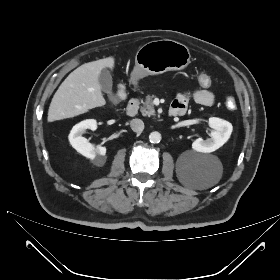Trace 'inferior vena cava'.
<instances>
[{"instance_id": "inferior-vena-cava-1", "label": "inferior vena cava", "mask_w": 280, "mask_h": 280, "mask_svg": "<svg viewBox=\"0 0 280 280\" xmlns=\"http://www.w3.org/2000/svg\"><path fill=\"white\" fill-rule=\"evenodd\" d=\"M131 129L136 133H141L144 129V123L141 119H132L130 121Z\"/></svg>"}]
</instances>
